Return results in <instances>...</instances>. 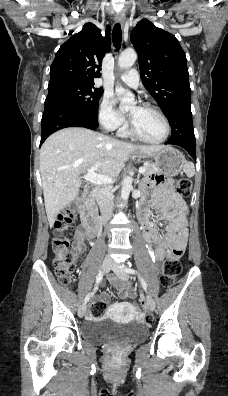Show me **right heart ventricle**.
<instances>
[{"mask_svg":"<svg viewBox=\"0 0 228 396\" xmlns=\"http://www.w3.org/2000/svg\"><path fill=\"white\" fill-rule=\"evenodd\" d=\"M120 133H121V135H123V136H128V135H129L128 131H126V130H124V129H122V130L120 131Z\"/></svg>","mask_w":228,"mask_h":396,"instance_id":"obj_1","label":"right heart ventricle"}]
</instances>
